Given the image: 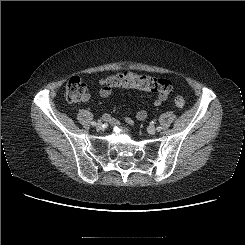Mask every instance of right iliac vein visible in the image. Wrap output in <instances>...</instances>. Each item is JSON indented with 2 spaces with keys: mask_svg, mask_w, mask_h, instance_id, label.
<instances>
[{
  "mask_svg": "<svg viewBox=\"0 0 245 245\" xmlns=\"http://www.w3.org/2000/svg\"><path fill=\"white\" fill-rule=\"evenodd\" d=\"M95 126H96L97 129H101L102 128V123L101 122H98V123H96Z\"/></svg>",
  "mask_w": 245,
  "mask_h": 245,
  "instance_id": "obj_1",
  "label": "right iliac vein"
}]
</instances>
